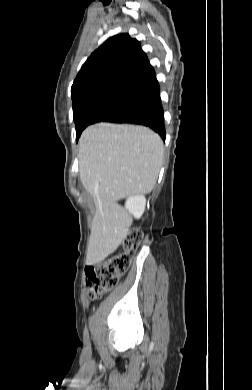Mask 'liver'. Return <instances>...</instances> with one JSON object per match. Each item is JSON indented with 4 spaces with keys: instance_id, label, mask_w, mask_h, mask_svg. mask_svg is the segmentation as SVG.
Here are the masks:
<instances>
[{
    "instance_id": "1",
    "label": "liver",
    "mask_w": 252,
    "mask_h": 390,
    "mask_svg": "<svg viewBox=\"0 0 252 390\" xmlns=\"http://www.w3.org/2000/svg\"><path fill=\"white\" fill-rule=\"evenodd\" d=\"M163 154L160 136L143 126L98 123L83 131L78 153L80 181L96 203L88 265L103 261L127 237L132 219L117 201L152 191Z\"/></svg>"
}]
</instances>
